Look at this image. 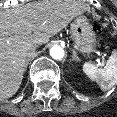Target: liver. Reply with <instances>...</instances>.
Returning a JSON list of instances; mask_svg holds the SVG:
<instances>
[{
    "mask_svg": "<svg viewBox=\"0 0 117 117\" xmlns=\"http://www.w3.org/2000/svg\"><path fill=\"white\" fill-rule=\"evenodd\" d=\"M86 10L75 0H45L0 12V100L18 91L30 48L47 43Z\"/></svg>",
    "mask_w": 117,
    "mask_h": 117,
    "instance_id": "6515ba94",
    "label": "liver"
}]
</instances>
